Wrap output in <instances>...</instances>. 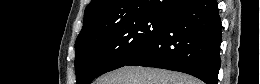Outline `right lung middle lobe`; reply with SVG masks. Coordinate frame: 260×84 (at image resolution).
<instances>
[{
	"instance_id": "dd1d6c3e",
	"label": "right lung middle lobe",
	"mask_w": 260,
	"mask_h": 84,
	"mask_svg": "<svg viewBox=\"0 0 260 84\" xmlns=\"http://www.w3.org/2000/svg\"><path fill=\"white\" fill-rule=\"evenodd\" d=\"M164 14H144L107 24L97 35L75 44L77 84L91 81L125 66L143 53L160 35L168 22Z\"/></svg>"
}]
</instances>
